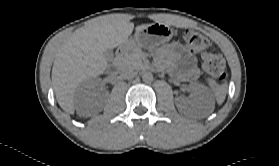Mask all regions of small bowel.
<instances>
[{"mask_svg": "<svg viewBox=\"0 0 279 166\" xmlns=\"http://www.w3.org/2000/svg\"><path fill=\"white\" fill-rule=\"evenodd\" d=\"M157 57L159 62L157 63L158 68L164 66L170 70H175L174 61H179L181 67L179 71L188 78H193L197 75L196 60L194 56L188 53L180 43L172 42L163 46L158 52Z\"/></svg>", "mask_w": 279, "mask_h": 166, "instance_id": "small-bowel-1", "label": "small bowel"}]
</instances>
